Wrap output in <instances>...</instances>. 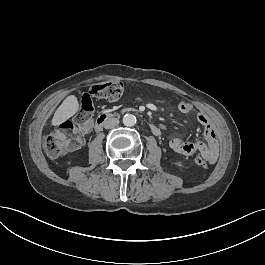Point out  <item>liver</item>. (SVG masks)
I'll return each mask as SVG.
<instances>
[{"label": "liver", "instance_id": "obj_1", "mask_svg": "<svg viewBox=\"0 0 265 265\" xmlns=\"http://www.w3.org/2000/svg\"><path fill=\"white\" fill-rule=\"evenodd\" d=\"M80 108L79 101L75 95L67 96L61 105L54 112L51 119V126H60L69 118L73 117Z\"/></svg>", "mask_w": 265, "mask_h": 265}]
</instances>
